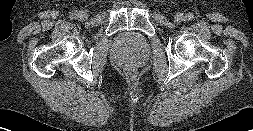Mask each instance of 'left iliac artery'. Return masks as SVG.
<instances>
[{
  "label": "left iliac artery",
  "instance_id": "44dca946",
  "mask_svg": "<svg viewBox=\"0 0 253 131\" xmlns=\"http://www.w3.org/2000/svg\"><path fill=\"white\" fill-rule=\"evenodd\" d=\"M194 19V15H193V13H187V15H186V19L185 20H193Z\"/></svg>",
  "mask_w": 253,
  "mask_h": 131
}]
</instances>
